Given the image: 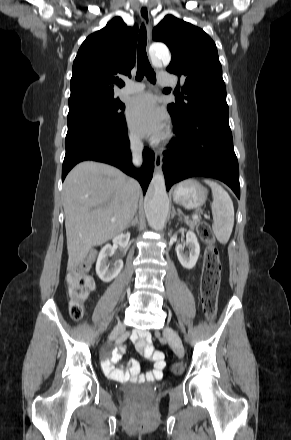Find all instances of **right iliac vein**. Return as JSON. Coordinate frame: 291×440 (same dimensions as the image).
Wrapping results in <instances>:
<instances>
[{
	"mask_svg": "<svg viewBox=\"0 0 291 440\" xmlns=\"http://www.w3.org/2000/svg\"><path fill=\"white\" fill-rule=\"evenodd\" d=\"M118 330H119V327H117L112 333H111V335H110V337H109V339L110 340H115V339H117V337H118Z\"/></svg>",
	"mask_w": 291,
	"mask_h": 440,
	"instance_id": "obj_1",
	"label": "right iliac vein"
}]
</instances>
